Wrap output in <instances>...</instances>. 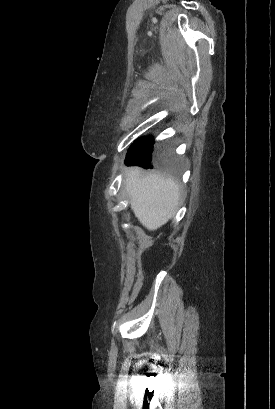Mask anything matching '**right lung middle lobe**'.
<instances>
[{
	"label": "right lung middle lobe",
	"instance_id": "1",
	"mask_svg": "<svg viewBox=\"0 0 275 409\" xmlns=\"http://www.w3.org/2000/svg\"><path fill=\"white\" fill-rule=\"evenodd\" d=\"M153 144L152 137L136 140L128 150L126 164L141 166L143 173H159L160 177L177 178L181 166L172 158L171 151L161 149L153 156Z\"/></svg>",
	"mask_w": 275,
	"mask_h": 409
}]
</instances>
